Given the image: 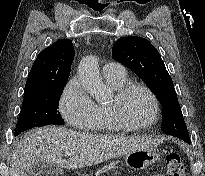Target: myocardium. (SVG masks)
I'll return each instance as SVG.
<instances>
[{
    "label": "myocardium",
    "instance_id": "1",
    "mask_svg": "<svg viewBox=\"0 0 205 176\" xmlns=\"http://www.w3.org/2000/svg\"><path fill=\"white\" fill-rule=\"evenodd\" d=\"M135 90L145 92L153 105V113L151 118L147 122L139 124L129 121L124 114L123 108L124 100ZM110 111L119 130H142L150 128L158 122L160 116V104L156 94L148 86L142 83L132 82L127 83L116 91L113 102L110 103Z\"/></svg>",
    "mask_w": 205,
    "mask_h": 176
}]
</instances>
